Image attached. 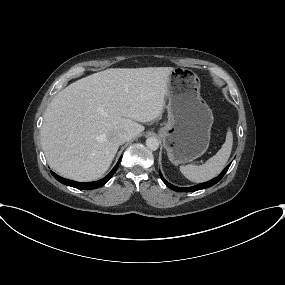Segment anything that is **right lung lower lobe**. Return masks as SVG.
I'll return each instance as SVG.
<instances>
[{"label": "right lung lower lobe", "instance_id": "1", "mask_svg": "<svg viewBox=\"0 0 285 285\" xmlns=\"http://www.w3.org/2000/svg\"><path fill=\"white\" fill-rule=\"evenodd\" d=\"M120 160H121V158L119 159L116 166L112 169V171L106 177H104L103 179H101L99 181H95V182H76V181L64 179L52 171H51V174L54 176L55 179H57L59 182L65 184V185L75 187L78 189H84V190L95 189V188H98L100 186H103L113 176V174L115 173V171L117 170V168L119 166Z\"/></svg>", "mask_w": 285, "mask_h": 285}]
</instances>
